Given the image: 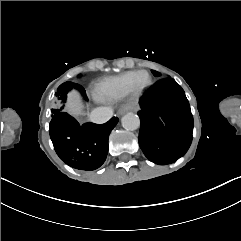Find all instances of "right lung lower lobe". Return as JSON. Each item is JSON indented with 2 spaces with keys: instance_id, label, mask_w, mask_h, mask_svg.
<instances>
[{
  "instance_id": "obj_1",
  "label": "right lung lower lobe",
  "mask_w": 241,
  "mask_h": 241,
  "mask_svg": "<svg viewBox=\"0 0 241 241\" xmlns=\"http://www.w3.org/2000/svg\"><path fill=\"white\" fill-rule=\"evenodd\" d=\"M72 84L71 89H78L86 98L84 88L77 83ZM118 120L113 117L104 124L88 122L80 125L67 112H60L52 116L49 134L63 162L75 169L91 171L99 168L106 160L109 134Z\"/></svg>"
}]
</instances>
